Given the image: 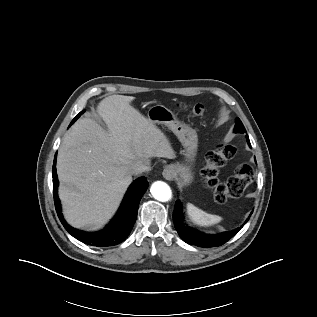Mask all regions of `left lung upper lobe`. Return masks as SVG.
I'll return each instance as SVG.
<instances>
[{
    "mask_svg": "<svg viewBox=\"0 0 317 317\" xmlns=\"http://www.w3.org/2000/svg\"><path fill=\"white\" fill-rule=\"evenodd\" d=\"M234 131L236 133H245L246 132V129L239 118H237V120H236V125H235ZM246 137H247V140H249L248 135Z\"/></svg>",
    "mask_w": 317,
    "mask_h": 317,
    "instance_id": "1",
    "label": "left lung upper lobe"
}]
</instances>
